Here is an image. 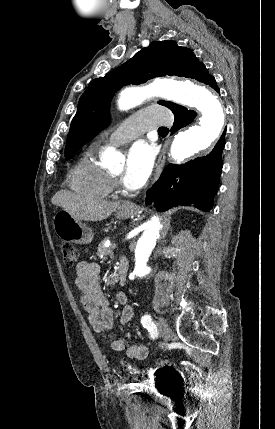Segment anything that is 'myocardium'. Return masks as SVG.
I'll use <instances>...</instances> for the list:
<instances>
[{
  "label": "myocardium",
  "instance_id": "myocardium-1",
  "mask_svg": "<svg viewBox=\"0 0 275 429\" xmlns=\"http://www.w3.org/2000/svg\"><path fill=\"white\" fill-rule=\"evenodd\" d=\"M109 175H110V178H111L112 184H113L116 188L121 189L119 178H118V177H116V176H114L112 173H109Z\"/></svg>",
  "mask_w": 275,
  "mask_h": 429
}]
</instances>
